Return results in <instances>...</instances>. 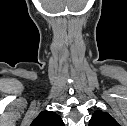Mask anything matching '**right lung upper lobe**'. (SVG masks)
<instances>
[{
    "label": "right lung upper lobe",
    "instance_id": "cb5924a9",
    "mask_svg": "<svg viewBox=\"0 0 127 126\" xmlns=\"http://www.w3.org/2000/svg\"><path fill=\"white\" fill-rule=\"evenodd\" d=\"M31 126H64L60 116L52 111H42L34 119Z\"/></svg>",
    "mask_w": 127,
    "mask_h": 126
}]
</instances>
